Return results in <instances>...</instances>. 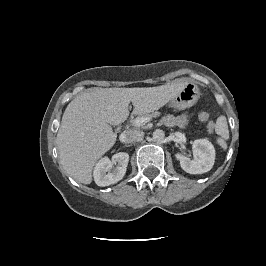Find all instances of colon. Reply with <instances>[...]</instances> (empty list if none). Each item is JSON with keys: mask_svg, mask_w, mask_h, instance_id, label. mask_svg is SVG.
I'll list each match as a JSON object with an SVG mask.
<instances>
[{"mask_svg": "<svg viewBox=\"0 0 266 266\" xmlns=\"http://www.w3.org/2000/svg\"><path fill=\"white\" fill-rule=\"evenodd\" d=\"M199 119L203 122H207L209 120V114L207 112H200ZM207 129L208 131L212 132L214 130V124L212 122H209L207 124Z\"/></svg>", "mask_w": 266, "mask_h": 266, "instance_id": "1", "label": "colon"}]
</instances>
